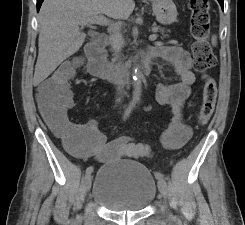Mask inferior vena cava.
I'll use <instances>...</instances> for the list:
<instances>
[{
	"label": "inferior vena cava",
	"mask_w": 245,
	"mask_h": 225,
	"mask_svg": "<svg viewBox=\"0 0 245 225\" xmlns=\"http://www.w3.org/2000/svg\"><path fill=\"white\" fill-rule=\"evenodd\" d=\"M109 43L111 45V50L113 51L114 53V58L112 59L113 63L115 62H118V59L120 58V54H121V50L124 46V41H123V37L120 33V30H119V26H117L113 31L112 33L110 34L109 36ZM121 67V63L118 62L116 64V68L117 70H119ZM122 86H121V83H119L118 87H117V90L119 93H122ZM117 101H120V98L117 99Z\"/></svg>",
	"instance_id": "obj_1"
}]
</instances>
